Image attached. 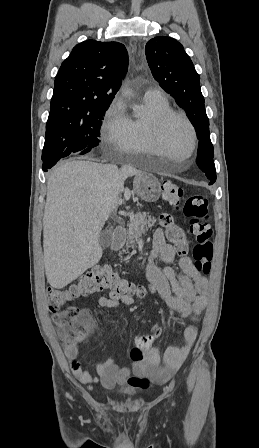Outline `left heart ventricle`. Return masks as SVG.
I'll list each match as a JSON object with an SVG mask.
<instances>
[{"instance_id":"left-heart-ventricle-1","label":"left heart ventricle","mask_w":259,"mask_h":448,"mask_svg":"<svg viewBox=\"0 0 259 448\" xmlns=\"http://www.w3.org/2000/svg\"><path fill=\"white\" fill-rule=\"evenodd\" d=\"M165 149L149 150L148 154L161 157L167 162H187L190 160L192 138L187 125L175 119L165 128L163 133Z\"/></svg>"}]
</instances>
